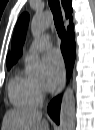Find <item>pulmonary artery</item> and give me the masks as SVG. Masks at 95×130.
I'll use <instances>...</instances> for the list:
<instances>
[{
    "label": "pulmonary artery",
    "mask_w": 95,
    "mask_h": 130,
    "mask_svg": "<svg viewBox=\"0 0 95 130\" xmlns=\"http://www.w3.org/2000/svg\"><path fill=\"white\" fill-rule=\"evenodd\" d=\"M51 45L52 43L49 35H41L31 43L28 50L26 51V55L47 50L51 47Z\"/></svg>",
    "instance_id": "1"
}]
</instances>
